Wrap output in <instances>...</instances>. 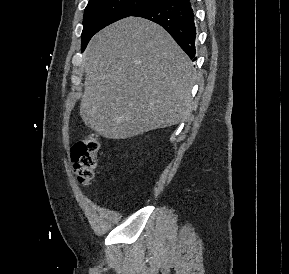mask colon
Returning a JSON list of instances; mask_svg holds the SVG:
<instances>
[{"label":"colon","instance_id":"5ec220e1","mask_svg":"<svg viewBox=\"0 0 289 274\" xmlns=\"http://www.w3.org/2000/svg\"><path fill=\"white\" fill-rule=\"evenodd\" d=\"M99 138L96 134H88L76 142L71 150L74 168L78 180L83 185H89L97 167Z\"/></svg>","mask_w":289,"mask_h":274}]
</instances>
